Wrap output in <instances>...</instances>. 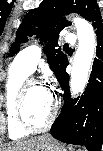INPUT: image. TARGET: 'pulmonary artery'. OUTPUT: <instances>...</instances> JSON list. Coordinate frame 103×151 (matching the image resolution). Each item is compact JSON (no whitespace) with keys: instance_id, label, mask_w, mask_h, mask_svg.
<instances>
[{"instance_id":"pulmonary-artery-1","label":"pulmonary artery","mask_w":103,"mask_h":151,"mask_svg":"<svg viewBox=\"0 0 103 151\" xmlns=\"http://www.w3.org/2000/svg\"><path fill=\"white\" fill-rule=\"evenodd\" d=\"M65 41L68 43H75L76 37L74 34H66ZM42 56V48L40 45H31L23 49L15 58V62L27 70L29 73H32L40 61Z\"/></svg>"}]
</instances>
